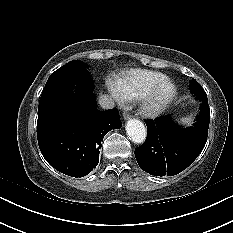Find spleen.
<instances>
[{"instance_id": "spleen-1", "label": "spleen", "mask_w": 233, "mask_h": 233, "mask_svg": "<svg viewBox=\"0 0 233 233\" xmlns=\"http://www.w3.org/2000/svg\"><path fill=\"white\" fill-rule=\"evenodd\" d=\"M191 120H192L191 117H182L179 122L182 124L190 125Z\"/></svg>"}]
</instances>
